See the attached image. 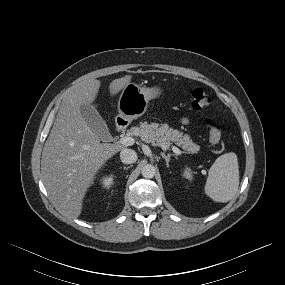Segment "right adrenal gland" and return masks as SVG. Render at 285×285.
<instances>
[{"label":"right adrenal gland","instance_id":"1","mask_svg":"<svg viewBox=\"0 0 285 285\" xmlns=\"http://www.w3.org/2000/svg\"><path fill=\"white\" fill-rule=\"evenodd\" d=\"M119 162H120V161H119ZM123 168L127 170L129 167L123 166Z\"/></svg>","mask_w":285,"mask_h":285}]
</instances>
